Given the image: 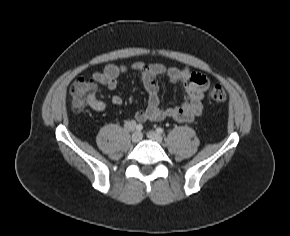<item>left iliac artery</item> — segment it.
Segmentation results:
<instances>
[{"instance_id": "obj_1", "label": "left iliac artery", "mask_w": 290, "mask_h": 236, "mask_svg": "<svg viewBox=\"0 0 290 236\" xmlns=\"http://www.w3.org/2000/svg\"><path fill=\"white\" fill-rule=\"evenodd\" d=\"M156 131H157L158 133H160V134H162V133L164 132L163 128H161V127H158V128L156 129Z\"/></svg>"}]
</instances>
